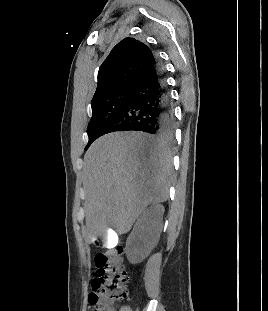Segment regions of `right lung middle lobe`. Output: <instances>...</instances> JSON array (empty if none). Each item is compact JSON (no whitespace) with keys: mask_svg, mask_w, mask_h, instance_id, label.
I'll use <instances>...</instances> for the list:
<instances>
[{"mask_svg":"<svg viewBox=\"0 0 268 311\" xmlns=\"http://www.w3.org/2000/svg\"><path fill=\"white\" fill-rule=\"evenodd\" d=\"M135 91V85L121 87L91 102L92 118L88 124L89 141L85 150L100 136L120 114Z\"/></svg>","mask_w":268,"mask_h":311,"instance_id":"right-lung-middle-lobe-1","label":"right lung middle lobe"}]
</instances>
